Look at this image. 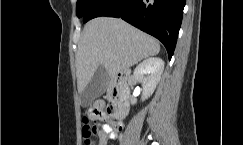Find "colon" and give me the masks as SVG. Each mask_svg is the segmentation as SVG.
<instances>
[{"instance_id": "5ec220e1", "label": "colon", "mask_w": 243, "mask_h": 145, "mask_svg": "<svg viewBox=\"0 0 243 145\" xmlns=\"http://www.w3.org/2000/svg\"><path fill=\"white\" fill-rule=\"evenodd\" d=\"M99 120L100 111L96 108L89 110L88 115L84 117L83 137L86 145L91 144V137L97 133Z\"/></svg>"}]
</instances>
